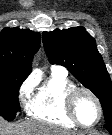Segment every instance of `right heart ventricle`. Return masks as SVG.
<instances>
[{
  "mask_svg": "<svg viewBox=\"0 0 112 135\" xmlns=\"http://www.w3.org/2000/svg\"><path fill=\"white\" fill-rule=\"evenodd\" d=\"M74 87L67 74L52 71L47 80L31 96L26 110L34 119L66 128H75L76 123L70 118L64 97Z\"/></svg>",
  "mask_w": 112,
  "mask_h": 135,
  "instance_id": "1",
  "label": "right heart ventricle"
}]
</instances>
